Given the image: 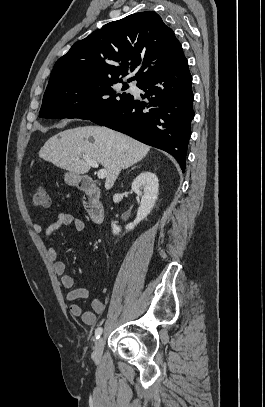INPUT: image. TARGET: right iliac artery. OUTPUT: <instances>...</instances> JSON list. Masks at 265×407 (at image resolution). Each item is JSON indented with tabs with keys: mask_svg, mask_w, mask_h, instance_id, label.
<instances>
[{
	"mask_svg": "<svg viewBox=\"0 0 265 407\" xmlns=\"http://www.w3.org/2000/svg\"><path fill=\"white\" fill-rule=\"evenodd\" d=\"M103 329L101 327L97 328L95 330V337L96 339H98L100 337V335L102 334Z\"/></svg>",
	"mask_w": 265,
	"mask_h": 407,
	"instance_id": "obj_1",
	"label": "right iliac artery"
}]
</instances>
